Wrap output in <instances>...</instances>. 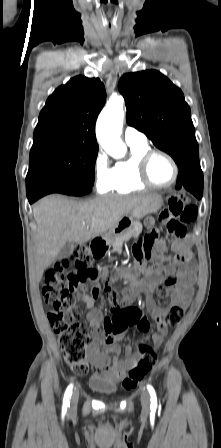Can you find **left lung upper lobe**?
<instances>
[{"label":"left lung upper lobe","mask_w":221,"mask_h":448,"mask_svg":"<svg viewBox=\"0 0 221 448\" xmlns=\"http://www.w3.org/2000/svg\"><path fill=\"white\" fill-rule=\"evenodd\" d=\"M130 126L143 132L178 167H200L190 107L182 91L156 70L124 74L118 84Z\"/></svg>","instance_id":"1"}]
</instances>
